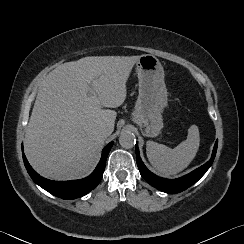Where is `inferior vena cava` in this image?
Here are the masks:
<instances>
[{
	"instance_id": "obj_1",
	"label": "inferior vena cava",
	"mask_w": 244,
	"mask_h": 244,
	"mask_svg": "<svg viewBox=\"0 0 244 244\" xmlns=\"http://www.w3.org/2000/svg\"><path fill=\"white\" fill-rule=\"evenodd\" d=\"M99 131L102 135L108 137L111 133H112V129L109 125L107 124H102L100 127H99Z\"/></svg>"
}]
</instances>
